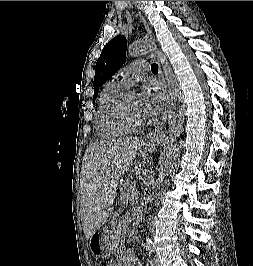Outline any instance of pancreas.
Listing matches in <instances>:
<instances>
[{
	"mask_svg": "<svg viewBox=\"0 0 253 266\" xmlns=\"http://www.w3.org/2000/svg\"><path fill=\"white\" fill-rule=\"evenodd\" d=\"M133 193L136 194L135 185L129 180L124 181L120 188V202L125 204L130 201L132 199Z\"/></svg>",
	"mask_w": 253,
	"mask_h": 266,
	"instance_id": "1",
	"label": "pancreas"
}]
</instances>
